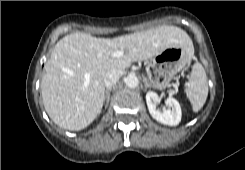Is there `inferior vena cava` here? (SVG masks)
<instances>
[{
    "label": "inferior vena cava",
    "mask_w": 245,
    "mask_h": 170,
    "mask_svg": "<svg viewBox=\"0 0 245 170\" xmlns=\"http://www.w3.org/2000/svg\"><path fill=\"white\" fill-rule=\"evenodd\" d=\"M124 74V71H110L107 72L104 76V83L107 88L112 87L115 85L119 78Z\"/></svg>",
    "instance_id": "obj_1"
}]
</instances>
